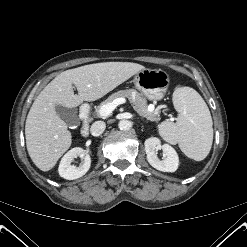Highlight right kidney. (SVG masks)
I'll list each match as a JSON object with an SVG mask.
<instances>
[{
	"label": "right kidney",
	"mask_w": 247,
	"mask_h": 247,
	"mask_svg": "<svg viewBox=\"0 0 247 247\" xmlns=\"http://www.w3.org/2000/svg\"><path fill=\"white\" fill-rule=\"evenodd\" d=\"M78 156L84 159L83 163L78 167L71 165V162L74 160V158H77ZM90 165L91 159L90 156L86 153V151L80 147H75L69 150L63 156L58 168V172L59 175L64 179L74 180L85 175L89 170Z\"/></svg>",
	"instance_id": "1"
}]
</instances>
